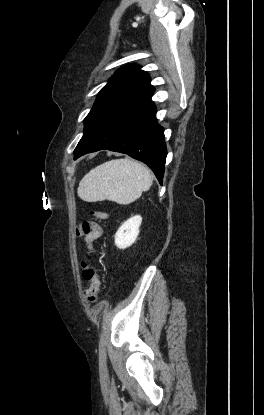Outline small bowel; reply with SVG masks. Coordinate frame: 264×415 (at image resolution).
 I'll return each mask as SVG.
<instances>
[{"instance_id":"c3829d8e","label":"small bowel","mask_w":264,"mask_h":415,"mask_svg":"<svg viewBox=\"0 0 264 415\" xmlns=\"http://www.w3.org/2000/svg\"><path fill=\"white\" fill-rule=\"evenodd\" d=\"M78 233L82 234L81 229H78ZM102 234V229L97 224L91 225V230L87 234H83L85 243L87 244L88 249L93 250V242L98 239Z\"/></svg>"}]
</instances>
